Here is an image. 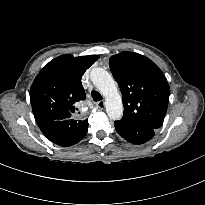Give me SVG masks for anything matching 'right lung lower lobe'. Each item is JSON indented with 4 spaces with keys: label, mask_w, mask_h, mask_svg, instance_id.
I'll use <instances>...</instances> for the list:
<instances>
[{
    "label": "right lung lower lobe",
    "mask_w": 205,
    "mask_h": 205,
    "mask_svg": "<svg viewBox=\"0 0 205 205\" xmlns=\"http://www.w3.org/2000/svg\"><path fill=\"white\" fill-rule=\"evenodd\" d=\"M62 127V122L61 121H56L53 123H50L48 125H45L44 127H41V131L43 132V134L53 143L60 145V146H71L73 144H76L77 142H79L81 139L84 138V136L86 135V133L78 140V141H70L68 139H66L61 133Z\"/></svg>",
    "instance_id": "obj_1"
}]
</instances>
